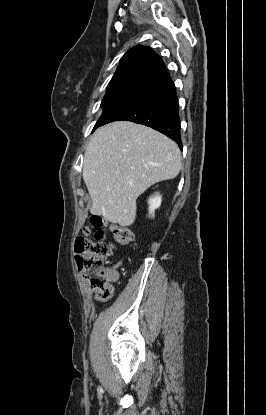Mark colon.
Segmentation results:
<instances>
[{"instance_id": "1", "label": "colon", "mask_w": 266, "mask_h": 415, "mask_svg": "<svg viewBox=\"0 0 266 415\" xmlns=\"http://www.w3.org/2000/svg\"><path fill=\"white\" fill-rule=\"evenodd\" d=\"M108 228L115 244L104 237V229ZM95 229L93 240L78 237L75 241L76 263L81 277L87 282L90 290L98 300H107L112 295V276L105 267V260L115 246H126L133 240L131 230L125 226L108 223L100 216H93L85 228L88 235Z\"/></svg>"}]
</instances>
